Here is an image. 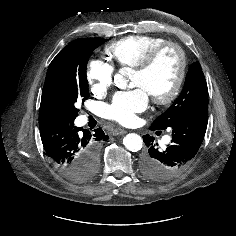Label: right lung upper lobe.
Listing matches in <instances>:
<instances>
[{
	"label": "right lung upper lobe",
	"instance_id": "right-lung-upper-lobe-1",
	"mask_svg": "<svg viewBox=\"0 0 236 236\" xmlns=\"http://www.w3.org/2000/svg\"><path fill=\"white\" fill-rule=\"evenodd\" d=\"M50 118H57L52 112H50L42 103L40 105V113H39V121L50 119Z\"/></svg>",
	"mask_w": 236,
	"mask_h": 236
}]
</instances>
